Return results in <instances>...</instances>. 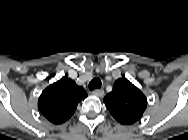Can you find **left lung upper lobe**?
<instances>
[{
  "mask_svg": "<svg viewBox=\"0 0 188 140\" xmlns=\"http://www.w3.org/2000/svg\"><path fill=\"white\" fill-rule=\"evenodd\" d=\"M104 102L111 115L123 125L137 122L147 107L145 95L126 78L116 80Z\"/></svg>",
  "mask_w": 188,
  "mask_h": 140,
  "instance_id": "left-lung-upper-lobe-1",
  "label": "left lung upper lobe"
}]
</instances>
